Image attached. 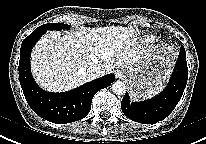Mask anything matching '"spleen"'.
Segmentation results:
<instances>
[{"label": "spleen", "instance_id": "spleen-1", "mask_svg": "<svg viewBox=\"0 0 206 144\" xmlns=\"http://www.w3.org/2000/svg\"><path fill=\"white\" fill-rule=\"evenodd\" d=\"M162 89H163V86H160L159 88L154 89V90H150V91H148V92L143 96V98H144V99L151 98V97H153L154 95H156L157 93H159V91H161Z\"/></svg>", "mask_w": 206, "mask_h": 144}]
</instances>
